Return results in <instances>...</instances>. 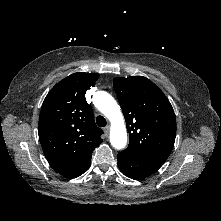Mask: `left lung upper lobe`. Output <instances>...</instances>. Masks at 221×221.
Wrapping results in <instances>:
<instances>
[{
	"label": "left lung upper lobe",
	"mask_w": 221,
	"mask_h": 221,
	"mask_svg": "<svg viewBox=\"0 0 221 221\" xmlns=\"http://www.w3.org/2000/svg\"><path fill=\"white\" fill-rule=\"evenodd\" d=\"M129 132L127 150L163 165L176 137L174 110L163 92L143 76L113 81Z\"/></svg>",
	"instance_id": "obj_1"
}]
</instances>
